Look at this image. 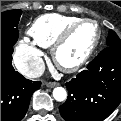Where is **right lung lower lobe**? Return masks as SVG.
Instances as JSON below:
<instances>
[{
    "label": "right lung lower lobe",
    "mask_w": 121,
    "mask_h": 121,
    "mask_svg": "<svg viewBox=\"0 0 121 121\" xmlns=\"http://www.w3.org/2000/svg\"><path fill=\"white\" fill-rule=\"evenodd\" d=\"M12 53V46L1 45V121L23 119L32 93L41 86L14 70Z\"/></svg>",
    "instance_id": "right-lung-lower-lobe-1"
}]
</instances>
